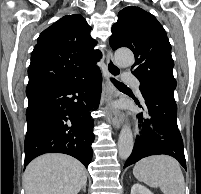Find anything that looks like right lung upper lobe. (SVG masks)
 <instances>
[{"mask_svg":"<svg viewBox=\"0 0 201 194\" xmlns=\"http://www.w3.org/2000/svg\"><path fill=\"white\" fill-rule=\"evenodd\" d=\"M91 27L82 15H66L45 29L38 38L28 68L27 86L39 83L72 84L99 68L102 56L95 50Z\"/></svg>","mask_w":201,"mask_h":194,"instance_id":"1","label":"right lung upper lobe"}]
</instances>
